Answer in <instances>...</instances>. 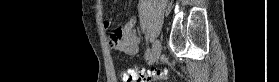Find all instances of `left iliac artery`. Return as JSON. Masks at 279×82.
Returning <instances> with one entry per match:
<instances>
[{"instance_id":"left-iliac-artery-1","label":"left iliac artery","mask_w":279,"mask_h":82,"mask_svg":"<svg viewBox=\"0 0 279 82\" xmlns=\"http://www.w3.org/2000/svg\"><path fill=\"white\" fill-rule=\"evenodd\" d=\"M149 40V34L146 35V42L148 43ZM150 56V50L149 47H147L146 52H145V58L148 59Z\"/></svg>"}]
</instances>
